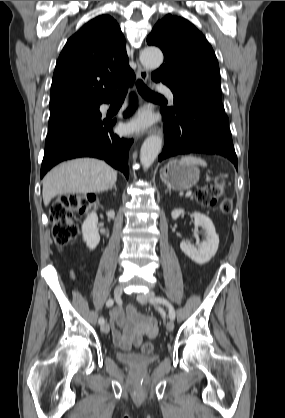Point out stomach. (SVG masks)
Returning <instances> with one entry per match:
<instances>
[{"label":"stomach","instance_id":"1","mask_svg":"<svg viewBox=\"0 0 285 418\" xmlns=\"http://www.w3.org/2000/svg\"><path fill=\"white\" fill-rule=\"evenodd\" d=\"M200 171L196 165L184 164L179 160H170L160 172L162 181L168 188L188 190L199 180Z\"/></svg>","mask_w":285,"mask_h":418}]
</instances>
